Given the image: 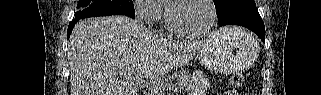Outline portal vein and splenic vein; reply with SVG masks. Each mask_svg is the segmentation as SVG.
Returning <instances> with one entry per match:
<instances>
[{"mask_svg": "<svg viewBox=\"0 0 321 95\" xmlns=\"http://www.w3.org/2000/svg\"><path fill=\"white\" fill-rule=\"evenodd\" d=\"M153 87L159 88V89H161V88L164 89L165 88V84L163 82H155Z\"/></svg>", "mask_w": 321, "mask_h": 95, "instance_id": "portal-vein-and-splenic-vein-1", "label": "portal vein and splenic vein"}]
</instances>
